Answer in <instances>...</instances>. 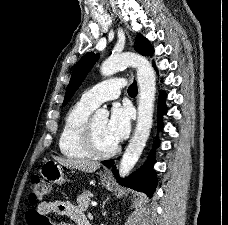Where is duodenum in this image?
Instances as JSON below:
<instances>
[{"label": "duodenum", "mask_w": 228, "mask_h": 225, "mask_svg": "<svg viewBox=\"0 0 228 225\" xmlns=\"http://www.w3.org/2000/svg\"><path fill=\"white\" fill-rule=\"evenodd\" d=\"M77 225H90L89 221L85 218V216H82L79 220Z\"/></svg>", "instance_id": "obj_1"}]
</instances>
